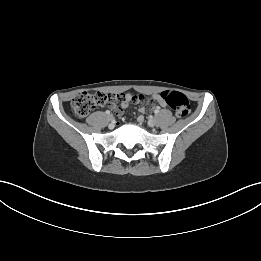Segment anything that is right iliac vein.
I'll list each match as a JSON object with an SVG mask.
<instances>
[{
  "mask_svg": "<svg viewBox=\"0 0 261 261\" xmlns=\"http://www.w3.org/2000/svg\"><path fill=\"white\" fill-rule=\"evenodd\" d=\"M107 118H108V120H109L110 122H112V121L114 120V117H113V115H111V114H110V115H108V117H107Z\"/></svg>",
  "mask_w": 261,
  "mask_h": 261,
  "instance_id": "63e3f726",
  "label": "right iliac vein"
}]
</instances>
